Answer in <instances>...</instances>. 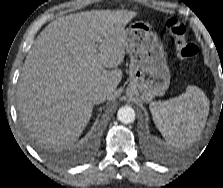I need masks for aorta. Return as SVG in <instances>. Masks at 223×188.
<instances>
[{"label": "aorta", "instance_id": "1", "mask_svg": "<svg viewBox=\"0 0 223 188\" xmlns=\"http://www.w3.org/2000/svg\"><path fill=\"white\" fill-rule=\"evenodd\" d=\"M117 118L122 123L130 124L135 121V111L129 106L121 107L117 112Z\"/></svg>", "mask_w": 223, "mask_h": 188}]
</instances>
